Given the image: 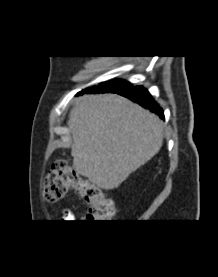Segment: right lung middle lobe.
<instances>
[{
    "label": "right lung middle lobe",
    "instance_id": "right-lung-middle-lobe-1",
    "mask_svg": "<svg viewBox=\"0 0 218 277\" xmlns=\"http://www.w3.org/2000/svg\"><path fill=\"white\" fill-rule=\"evenodd\" d=\"M100 85H101L102 92L124 89L131 86L129 82H126L123 80H115L107 84L101 83Z\"/></svg>",
    "mask_w": 218,
    "mask_h": 277
}]
</instances>
